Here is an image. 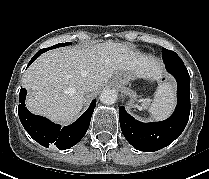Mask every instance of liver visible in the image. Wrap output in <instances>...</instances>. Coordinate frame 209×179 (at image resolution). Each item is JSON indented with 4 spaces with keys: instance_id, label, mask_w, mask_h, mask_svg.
Here are the masks:
<instances>
[{
    "instance_id": "obj_1",
    "label": "liver",
    "mask_w": 209,
    "mask_h": 179,
    "mask_svg": "<svg viewBox=\"0 0 209 179\" xmlns=\"http://www.w3.org/2000/svg\"><path fill=\"white\" fill-rule=\"evenodd\" d=\"M125 71L135 78L157 80L162 65L154 57L113 41L45 52L23 74V86L28 91L26 106L34 114L69 124L83 107L86 83H93V91H97L112 75L117 81Z\"/></svg>"
}]
</instances>
